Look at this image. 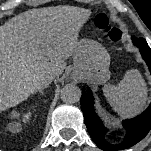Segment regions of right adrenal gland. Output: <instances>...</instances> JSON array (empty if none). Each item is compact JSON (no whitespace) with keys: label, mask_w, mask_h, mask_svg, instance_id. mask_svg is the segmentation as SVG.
Masks as SVG:
<instances>
[{"label":"right adrenal gland","mask_w":151,"mask_h":151,"mask_svg":"<svg viewBox=\"0 0 151 151\" xmlns=\"http://www.w3.org/2000/svg\"><path fill=\"white\" fill-rule=\"evenodd\" d=\"M46 87H47V86H46ZM39 94H40V95H44V93H43L42 90L39 91Z\"/></svg>","instance_id":"right-adrenal-gland-1"}]
</instances>
